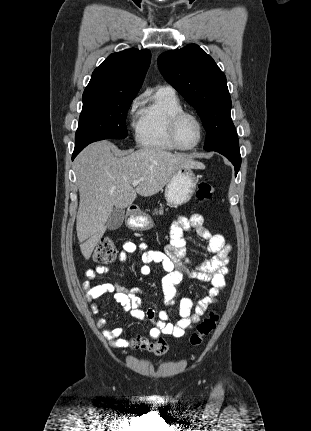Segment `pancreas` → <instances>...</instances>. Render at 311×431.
Instances as JSON below:
<instances>
[{
    "label": "pancreas",
    "instance_id": "1",
    "mask_svg": "<svg viewBox=\"0 0 311 431\" xmlns=\"http://www.w3.org/2000/svg\"><path fill=\"white\" fill-rule=\"evenodd\" d=\"M168 208H166V212H167ZM164 210L163 208H155L154 212H153V216H158V214H163Z\"/></svg>",
    "mask_w": 311,
    "mask_h": 431
}]
</instances>
